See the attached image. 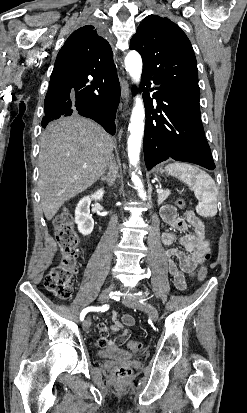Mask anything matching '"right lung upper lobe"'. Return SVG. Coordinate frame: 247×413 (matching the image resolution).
<instances>
[{
  "mask_svg": "<svg viewBox=\"0 0 247 413\" xmlns=\"http://www.w3.org/2000/svg\"><path fill=\"white\" fill-rule=\"evenodd\" d=\"M109 43L97 35L94 26L74 31L60 49L53 72L101 75L115 71Z\"/></svg>",
  "mask_w": 247,
  "mask_h": 413,
  "instance_id": "cb5924a9",
  "label": "right lung upper lobe"
}]
</instances>
